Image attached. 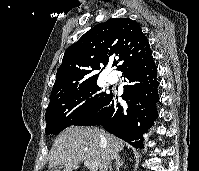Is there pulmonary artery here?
<instances>
[{"label": "pulmonary artery", "mask_w": 199, "mask_h": 171, "mask_svg": "<svg viewBox=\"0 0 199 171\" xmlns=\"http://www.w3.org/2000/svg\"><path fill=\"white\" fill-rule=\"evenodd\" d=\"M115 81H116L115 78H113V77H111V76L108 77V82H109V83L113 84V83H115Z\"/></svg>", "instance_id": "1"}]
</instances>
